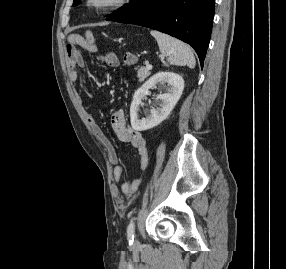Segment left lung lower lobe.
Here are the masks:
<instances>
[{"label":"left lung lower lobe","instance_id":"obj_1","mask_svg":"<svg viewBox=\"0 0 286 269\" xmlns=\"http://www.w3.org/2000/svg\"><path fill=\"white\" fill-rule=\"evenodd\" d=\"M214 7L215 0H148L143 8L117 22L155 29L188 43L203 66Z\"/></svg>","mask_w":286,"mask_h":269}]
</instances>
